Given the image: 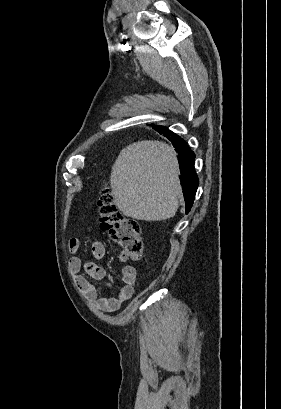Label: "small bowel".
Wrapping results in <instances>:
<instances>
[{"label":"small bowel","mask_w":281,"mask_h":409,"mask_svg":"<svg viewBox=\"0 0 281 409\" xmlns=\"http://www.w3.org/2000/svg\"><path fill=\"white\" fill-rule=\"evenodd\" d=\"M89 228V225H86ZM68 247L71 253L75 254L69 263L70 273L74 276L75 283L78 289L91 301L104 311L114 312L119 307L129 300L134 292V284L137 278V270L130 265L124 266L121 274V286L117 294L113 297H99L97 288L88 281L84 276L79 275V271L83 270L87 275L97 281H106V286L109 288L114 282L113 277L108 275L106 271L95 262L83 261L76 254L80 248V242L76 238H72L68 242ZM91 254L96 260L101 259L105 255L103 244L97 240L91 244ZM121 258L125 259V255L121 254Z\"/></svg>","instance_id":"1"}]
</instances>
